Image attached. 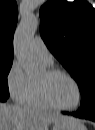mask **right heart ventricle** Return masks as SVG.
I'll list each match as a JSON object with an SVG mask.
<instances>
[{
  "label": "right heart ventricle",
  "mask_w": 95,
  "mask_h": 130,
  "mask_svg": "<svg viewBox=\"0 0 95 130\" xmlns=\"http://www.w3.org/2000/svg\"><path fill=\"white\" fill-rule=\"evenodd\" d=\"M25 104L29 107H32V108H41V109L51 108L41 98L37 82H35V81H33V83H32V88H31L29 97H28Z\"/></svg>",
  "instance_id": "right-heart-ventricle-1"
}]
</instances>
